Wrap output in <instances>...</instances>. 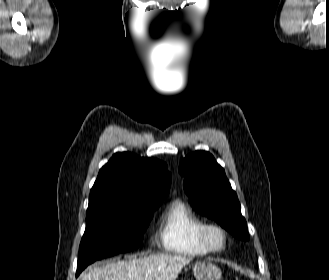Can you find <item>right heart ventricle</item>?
<instances>
[{
  "mask_svg": "<svg viewBox=\"0 0 329 280\" xmlns=\"http://www.w3.org/2000/svg\"><path fill=\"white\" fill-rule=\"evenodd\" d=\"M205 223L185 201H172L161 224L159 241L162 248L168 253L186 257L210 254L200 240V230Z\"/></svg>",
  "mask_w": 329,
  "mask_h": 280,
  "instance_id": "right-heart-ventricle-1",
  "label": "right heart ventricle"
}]
</instances>
